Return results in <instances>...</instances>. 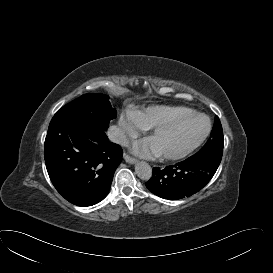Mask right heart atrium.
Segmentation results:
<instances>
[{
  "instance_id": "d8ad5b80",
  "label": "right heart atrium",
  "mask_w": 273,
  "mask_h": 273,
  "mask_svg": "<svg viewBox=\"0 0 273 273\" xmlns=\"http://www.w3.org/2000/svg\"><path fill=\"white\" fill-rule=\"evenodd\" d=\"M119 127L126 137H132L137 133V127L128 116H122L119 121Z\"/></svg>"
}]
</instances>
